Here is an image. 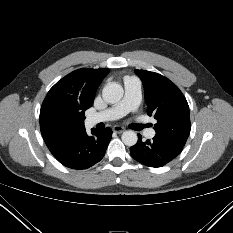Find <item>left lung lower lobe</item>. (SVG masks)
<instances>
[{
	"label": "left lung lower lobe",
	"instance_id": "obj_1",
	"mask_svg": "<svg viewBox=\"0 0 233 233\" xmlns=\"http://www.w3.org/2000/svg\"><path fill=\"white\" fill-rule=\"evenodd\" d=\"M183 147L154 137L152 140L142 141L138 134L137 143L130 148L131 156L138 162L149 167H162L173 160Z\"/></svg>",
	"mask_w": 233,
	"mask_h": 233
}]
</instances>
